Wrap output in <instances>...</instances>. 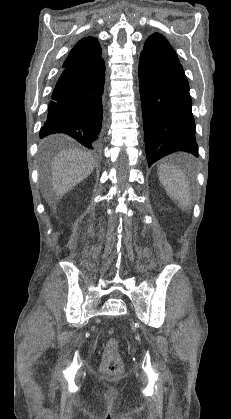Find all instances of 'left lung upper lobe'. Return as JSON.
Returning <instances> with one entry per match:
<instances>
[{
	"label": "left lung upper lobe",
	"instance_id": "obj_1",
	"mask_svg": "<svg viewBox=\"0 0 231 419\" xmlns=\"http://www.w3.org/2000/svg\"><path fill=\"white\" fill-rule=\"evenodd\" d=\"M142 52L150 56L179 62L177 54L170 43L158 33H154L148 37Z\"/></svg>",
	"mask_w": 231,
	"mask_h": 419
}]
</instances>
